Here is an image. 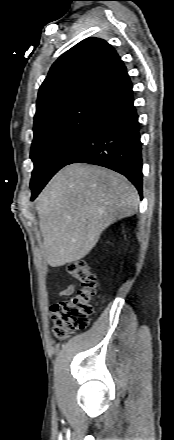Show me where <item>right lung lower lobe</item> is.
<instances>
[{"label":"right lung lower lobe","instance_id":"obj_1","mask_svg":"<svg viewBox=\"0 0 174 440\" xmlns=\"http://www.w3.org/2000/svg\"><path fill=\"white\" fill-rule=\"evenodd\" d=\"M142 146L139 122L128 75L97 93V102L85 138L66 165L89 163L126 176L142 198ZM45 184L32 190V200Z\"/></svg>","mask_w":174,"mask_h":440}]
</instances>
